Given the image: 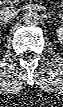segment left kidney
Instances as JSON below:
<instances>
[{"label":"left kidney","instance_id":"5707ae66","mask_svg":"<svg viewBox=\"0 0 63 107\" xmlns=\"http://www.w3.org/2000/svg\"><path fill=\"white\" fill-rule=\"evenodd\" d=\"M56 35L60 43H63V26H59L56 29Z\"/></svg>","mask_w":63,"mask_h":107}]
</instances>
